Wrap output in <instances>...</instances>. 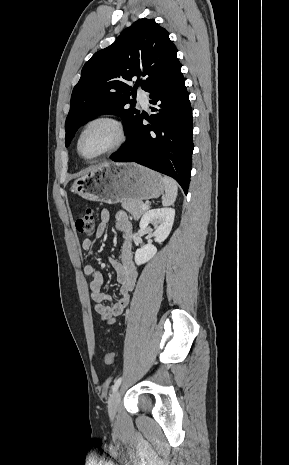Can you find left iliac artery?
I'll return each mask as SVG.
<instances>
[{
    "instance_id": "44dca946",
    "label": "left iliac artery",
    "mask_w": 289,
    "mask_h": 465,
    "mask_svg": "<svg viewBox=\"0 0 289 465\" xmlns=\"http://www.w3.org/2000/svg\"><path fill=\"white\" fill-rule=\"evenodd\" d=\"M121 381H122V377H119L115 383L112 385L111 389H112V393L116 392L118 387L120 386L121 384Z\"/></svg>"
}]
</instances>
